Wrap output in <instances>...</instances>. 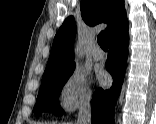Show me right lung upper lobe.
I'll return each instance as SVG.
<instances>
[{"label":"right lung upper lobe","mask_w":156,"mask_h":124,"mask_svg":"<svg viewBox=\"0 0 156 124\" xmlns=\"http://www.w3.org/2000/svg\"><path fill=\"white\" fill-rule=\"evenodd\" d=\"M81 16L90 26L101 22L107 23L109 40L128 29L124 0H81ZM75 34L76 23L74 17L70 16L55 35L43 78L75 67L73 62Z\"/></svg>","instance_id":"obj_1"}]
</instances>
